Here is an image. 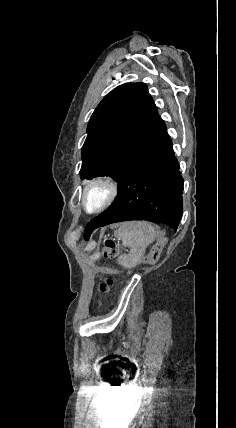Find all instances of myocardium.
I'll return each instance as SVG.
<instances>
[{"instance_id":"myocardium-1","label":"myocardium","mask_w":236,"mask_h":428,"mask_svg":"<svg viewBox=\"0 0 236 428\" xmlns=\"http://www.w3.org/2000/svg\"><path fill=\"white\" fill-rule=\"evenodd\" d=\"M100 188L104 191V198L94 206H90L88 196L91 190ZM121 191L119 181L111 175H98L89 179L82 190V206L88 213H99L109 208L118 198Z\"/></svg>"}]
</instances>
